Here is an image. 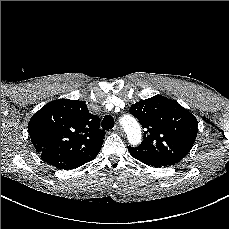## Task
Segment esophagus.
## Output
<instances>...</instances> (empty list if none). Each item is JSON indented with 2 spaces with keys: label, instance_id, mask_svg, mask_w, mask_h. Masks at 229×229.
Returning a JSON list of instances; mask_svg holds the SVG:
<instances>
[{
  "label": "esophagus",
  "instance_id": "1",
  "mask_svg": "<svg viewBox=\"0 0 229 229\" xmlns=\"http://www.w3.org/2000/svg\"><path fill=\"white\" fill-rule=\"evenodd\" d=\"M116 133L122 134L123 130L120 125H116L113 129Z\"/></svg>",
  "mask_w": 229,
  "mask_h": 229
}]
</instances>
